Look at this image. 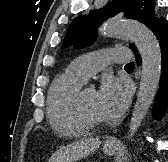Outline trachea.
<instances>
[{
  "label": "trachea",
  "instance_id": "1",
  "mask_svg": "<svg viewBox=\"0 0 168 162\" xmlns=\"http://www.w3.org/2000/svg\"><path fill=\"white\" fill-rule=\"evenodd\" d=\"M125 67H134V63L131 62V63H129V64H126Z\"/></svg>",
  "mask_w": 168,
  "mask_h": 162
}]
</instances>
